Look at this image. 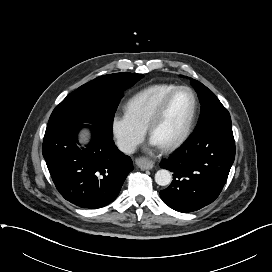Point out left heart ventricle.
Here are the masks:
<instances>
[{
	"instance_id": "1",
	"label": "left heart ventricle",
	"mask_w": 272,
	"mask_h": 272,
	"mask_svg": "<svg viewBox=\"0 0 272 272\" xmlns=\"http://www.w3.org/2000/svg\"><path fill=\"white\" fill-rule=\"evenodd\" d=\"M193 99L188 91L178 92L155 127L152 138L161 146L174 141L183 132L192 112Z\"/></svg>"
}]
</instances>
